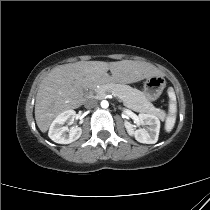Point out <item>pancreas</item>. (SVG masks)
<instances>
[{
  "mask_svg": "<svg viewBox=\"0 0 210 210\" xmlns=\"http://www.w3.org/2000/svg\"><path fill=\"white\" fill-rule=\"evenodd\" d=\"M109 92L121 99L128 108L141 113L157 114L158 110L146 98L145 94L138 89L125 84L107 83L95 89L97 98H104Z\"/></svg>",
  "mask_w": 210,
  "mask_h": 210,
  "instance_id": "pancreas-1",
  "label": "pancreas"
}]
</instances>
